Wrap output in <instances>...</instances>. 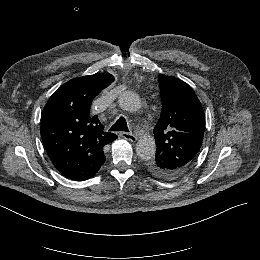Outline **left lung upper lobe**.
I'll return each mask as SVG.
<instances>
[{
	"label": "left lung upper lobe",
	"mask_w": 260,
	"mask_h": 260,
	"mask_svg": "<svg viewBox=\"0 0 260 260\" xmlns=\"http://www.w3.org/2000/svg\"><path fill=\"white\" fill-rule=\"evenodd\" d=\"M162 99L161 117L154 128L155 159L151 173L175 178L195 161L202 145L205 116L200 101L185 82L165 75L158 77Z\"/></svg>",
	"instance_id": "5c2ea615"
}]
</instances>
